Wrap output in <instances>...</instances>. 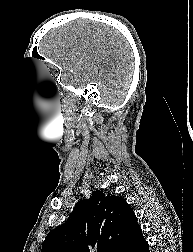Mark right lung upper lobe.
<instances>
[{
  "instance_id": "1",
  "label": "right lung upper lobe",
  "mask_w": 193,
  "mask_h": 252,
  "mask_svg": "<svg viewBox=\"0 0 193 252\" xmlns=\"http://www.w3.org/2000/svg\"><path fill=\"white\" fill-rule=\"evenodd\" d=\"M140 229L122 197L97 190L75 205L63 225L48 233L41 252H120Z\"/></svg>"
}]
</instances>
